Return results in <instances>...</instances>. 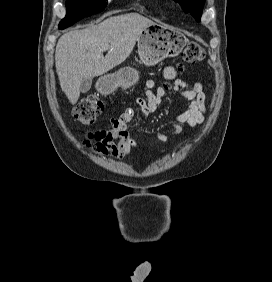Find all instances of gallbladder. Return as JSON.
I'll use <instances>...</instances> for the list:
<instances>
[{"label":"gallbladder","mask_w":272,"mask_h":282,"mask_svg":"<svg viewBox=\"0 0 272 282\" xmlns=\"http://www.w3.org/2000/svg\"><path fill=\"white\" fill-rule=\"evenodd\" d=\"M91 84H92L91 79L84 81L83 84L81 85L80 91L82 93H87L91 88Z\"/></svg>","instance_id":"obj_1"}]
</instances>
